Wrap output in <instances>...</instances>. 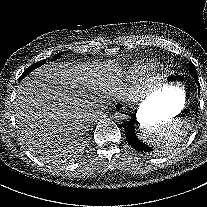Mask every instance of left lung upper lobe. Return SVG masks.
<instances>
[{
    "label": "left lung upper lobe",
    "instance_id": "1",
    "mask_svg": "<svg viewBox=\"0 0 207 207\" xmlns=\"http://www.w3.org/2000/svg\"><path fill=\"white\" fill-rule=\"evenodd\" d=\"M189 72H190V74L196 72V68H195L194 64L191 62H189Z\"/></svg>",
    "mask_w": 207,
    "mask_h": 207
}]
</instances>
